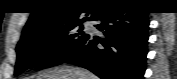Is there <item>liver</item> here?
Listing matches in <instances>:
<instances>
[{
	"label": "liver",
	"mask_w": 177,
	"mask_h": 79,
	"mask_svg": "<svg viewBox=\"0 0 177 79\" xmlns=\"http://www.w3.org/2000/svg\"><path fill=\"white\" fill-rule=\"evenodd\" d=\"M28 79H98L92 72L73 66H61L46 69L30 76Z\"/></svg>",
	"instance_id": "6515ba94"
}]
</instances>
